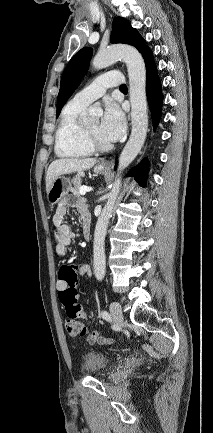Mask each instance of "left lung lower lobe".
Wrapping results in <instances>:
<instances>
[{
	"label": "left lung lower lobe",
	"mask_w": 213,
	"mask_h": 433,
	"mask_svg": "<svg viewBox=\"0 0 213 433\" xmlns=\"http://www.w3.org/2000/svg\"><path fill=\"white\" fill-rule=\"evenodd\" d=\"M146 66V93L148 104L152 115L153 126L157 127L162 111L161 83L157 74V67L153 60L151 50L143 55ZM148 161L143 160L137 167L130 171L129 175L135 176L138 182L145 186L147 177ZM116 170V166H115Z\"/></svg>",
	"instance_id": "1"
}]
</instances>
